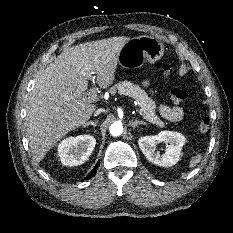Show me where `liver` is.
<instances>
[{
	"instance_id": "obj_1",
	"label": "liver",
	"mask_w": 233,
	"mask_h": 233,
	"mask_svg": "<svg viewBox=\"0 0 233 233\" xmlns=\"http://www.w3.org/2000/svg\"><path fill=\"white\" fill-rule=\"evenodd\" d=\"M129 37L86 42L64 50L36 79L28 99L26 133L33 159L40 162L68 132L82 126L96 109L81 102L93 72L102 88L115 78L118 56Z\"/></svg>"
}]
</instances>
